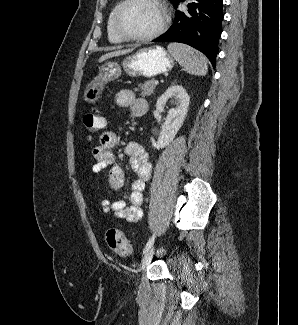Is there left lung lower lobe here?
<instances>
[{
	"label": "left lung lower lobe",
	"mask_w": 298,
	"mask_h": 325,
	"mask_svg": "<svg viewBox=\"0 0 298 325\" xmlns=\"http://www.w3.org/2000/svg\"><path fill=\"white\" fill-rule=\"evenodd\" d=\"M173 3L176 8L179 2ZM188 13L175 12V20L166 33L153 42H181L204 53L215 67L223 20V0H194Z\"/></svg>",
	"instance_id": "left-lung-lower-lobe-1"
}]
</instances>
